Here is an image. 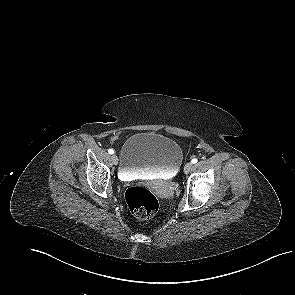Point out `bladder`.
I'll return each mask as SVG.
<instances>
[{
	"label": "bladder",
	"instance_id": "obj_1",
	"mask_svg": "<svg viewBox=\"0 0 295 295\" xmlns=\"http://www.w3.org/2000/svg\"><path fill=\"white\" fill-rule=\"evenodd\" d=\"M183 162L179 144L155 132H141L129 137L120 152V174L133 177L162 174L173 177Z\"/></svg>",
	"mask_w": 295,
	"mask_h": 295
}]
</instances>
